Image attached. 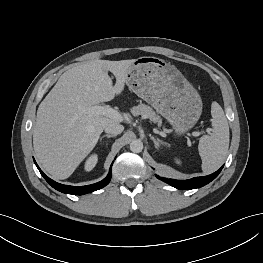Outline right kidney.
<instances>
[{
    "label": "right kidney",
    "mask_w": 263,
    "mask_h": 263,
    "mask_svg": "<svg viewBox=\"0 0 263 263\" xmlns=\"http://www.w3.org/2000/svg\"><path fill=\"white\" fill-rule=\"evenodd\" d=\"M98 161V156L97 154H92L87 161L85 162V170L86 171H91L95 165L97 164Z\"/></svg>",
    "instance_id": "obj_1"
}]
</instances>
